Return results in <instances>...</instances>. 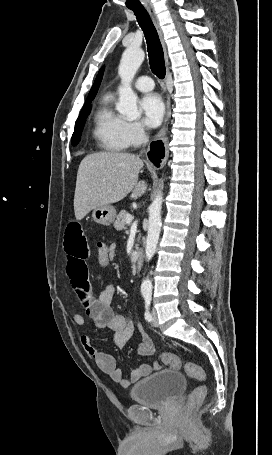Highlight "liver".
I'll use <instances>...</instances> for the list:
<instances>
[{
    "instance_id": "6515ba94",
    "label": "liver",
    "mask_w": 272,
    "mask_h": 455,
    "mask_svg": "<svg viewBox=\"0 0 272 455\" xmlns=\"http://www.w3.org/2000/svg\"><path fill=\"white\" fill-rule=\"evenodd\" d=\"M143 161L134 154L100 152L87 155L80 163L74 195V211L82 220L91 210L116 203L131 193V199L147 190L145 181H138Z\"/></svg>"
}]
</instances>
